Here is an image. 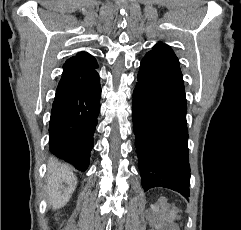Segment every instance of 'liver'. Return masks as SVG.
Listing matches in <instances>:
<instances>
[{
    "instance_id": "liver-1",
    "label": "liver",
    "mask_w": 241,
    "mask_h": 230,
    "mask_svg": "<svg viewBox=\"0 0 241 230\" xmlns=\"http://www.w3.org/2000/svg\"><path fill=\"white\" fill-rule=\"evenodd\" d=\"M50 200L54 210L64 207L71 198V193L75 190L77 179L72 170L67 165H60L54 158L48 161ZM64 184L67 186L65 187Z\"/></svg>"
}]
</instances>
